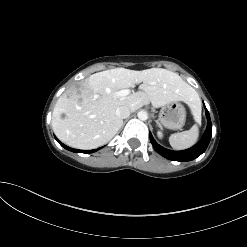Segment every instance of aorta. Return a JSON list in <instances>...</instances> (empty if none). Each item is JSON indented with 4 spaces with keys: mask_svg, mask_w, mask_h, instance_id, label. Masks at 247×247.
Segmentation results:
<instances>
[{
    "mask_svg": "<svg viewBox=\"0 0 247 247\" xmlns=\"http://www.w3.org/2000/svg\"><path fill=\"white\" fill-rule=\"evenodd\" d=\"M138 118H139L140 120H143V121L147 120V119H148V114H147V112L144 111V110L139 111V112H138Z\"/></svg>",
    "mask_w": 247,
    "mask_h": 247,
    "instance_id": "1",
    "label": "aorta"
}]
</instances>
